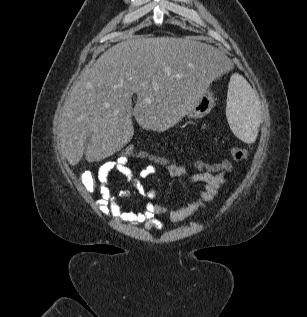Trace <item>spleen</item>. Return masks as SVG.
Returning <instances> with one entry per match:
<instances>
[{
  "instance_id": "spleen-1",
  "label": "spleen",
  "mask_w": 307,
  "mask_h": 317,
  "mask_svg": "<svg viewBox=\"0 0 307 317\" xmlns=\"http://www.w3.org/2000/svg\"><path fill=\"white\" fill-rule=\"evenodd\" d=\"M226 116L232 132L243 142L253 143L261 121L260 108L250 85L235 74L228 91Z\"/></svg>"
}]
</instances>
